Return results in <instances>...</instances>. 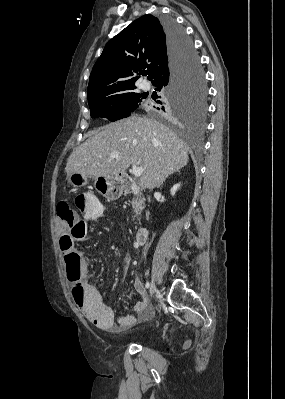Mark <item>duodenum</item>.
Listing matches in <instances>:
<instances>
[{"mask_svg": "<svg viewBox=\"0 0 285 399\" xmlns=\"http://www.w3.org/2000/svg\"><path fill=\"white\" fill-rule=\"evenodd\" d=\"M124 187H125V191L127 193H138L139 192L138 188H136L130 182H125ZM149 232H150V230H149V228L147 226H141L137 230L136 235H135L136 242L137 243H144L147 240L148 236H149Z\"/></svg>", "mask_w": 285, "mask_h": 399, "instance_id": "duodenum-1", "label": "duodenum"}]
</instances>
